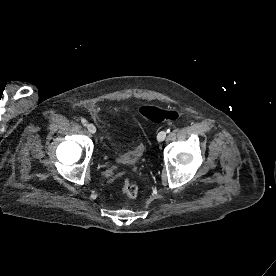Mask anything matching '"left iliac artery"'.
Returning <instances> with one entry per match:
<instances>
[{"mask_svg":"<svg viewBox=\"0 0 276 276\" xmlns=\"http://www.w3.org/2000/svg\"><path fill=\"white\" fill-rule=\"evenodd\" d=\"M167 132L169 133V132H170V129H168Z\"/></svg>","mask_w":276,"mask_h":276,"instance_id":"left-iliac-artery-1","label":"left iliac artery"}]
</instances>
